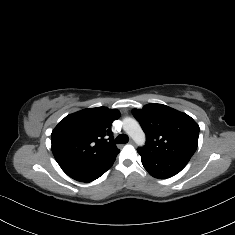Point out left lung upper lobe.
<instances>
[{"label": "left lung upper lobe", "instance_id": "1", "mask_svg": "<svg viewBox=\"0 0 235 235\" xmlns=\"http://www.w3.org/2000/svg\"><path fill=\"white\" fill-rule=\"evenodd\" d=\"M132 113L146 134V144L139 151L184 164L189 162L199 136V126L190 116L162 104H148Z\"/></svg>", "mask_w": 235, "mask_h": 235}]
</instances>
